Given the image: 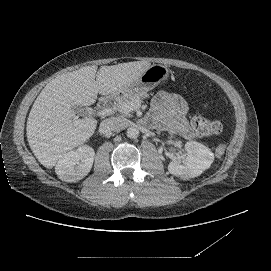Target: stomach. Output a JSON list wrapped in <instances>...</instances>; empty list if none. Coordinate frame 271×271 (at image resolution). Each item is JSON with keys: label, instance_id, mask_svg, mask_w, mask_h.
Returning <instances> with one entry per match:
<instances>
[{"label": "stomach", "instance_id": "obj_1", "mask_svg": "<svg viewBox=\"0 0 271 271\" xmlns=\"http://www.w3.org/2000/svg\"><path fill=\"white\" fill-rule=\"evenodd\" d=\"M171 75V70L167 66L154 64L150 66L136 81L130 83L121 92L115 93L117 99L122 98L126 94H135L147 92L155 88L162 81L167 80Z\"/></svg>", "mask_w": 271, "mask_h": 271}]
</instances>
